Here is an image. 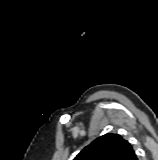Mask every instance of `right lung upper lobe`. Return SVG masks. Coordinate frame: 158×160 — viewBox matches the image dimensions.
Wrapping results in <instances>:
<instances>
[{"label":"right lung upper lobe","instance_id":"obj_1","mask_svg":"<svg viewBox=\"0 0 158 160\" xmlns=\"http://www.w3.org/2000/svg\"><path fill=\"white\" fill-rule=\"evenodd\" d=\"M73 160H137L130 143L118 134H105L86 146Z\"/></svg>","mask_w":158,"mask_h":160}]
</instances>
